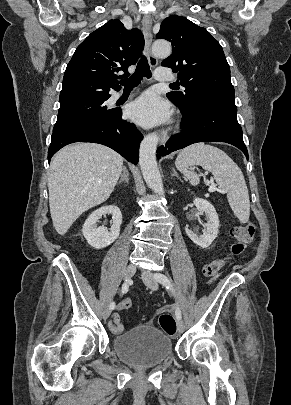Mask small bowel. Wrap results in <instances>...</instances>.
<instances>
[{
  "label": "small bowel",
  "instance_id": "1",
  "mask_svg": "<svg viewBox=\"0 0 291 405\" xmlns=\"http://www.w3.org/2000/svg\"><path fill=\"white\" fill-rule=\"evenodd\" d=\"M118 310L121 312L122 310L118 307ZM173 306H165L160 309L161 313L173 312ZM109 329L113 334H120L124 331V326L120 322V318L118 315H114L112 320L109 323Z\"/></svg>",
  "mask_w": 291,
  "mask_h": 405
}]
</instances>
